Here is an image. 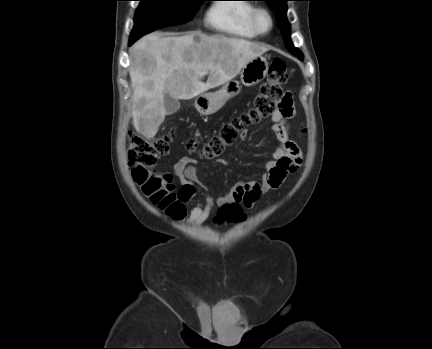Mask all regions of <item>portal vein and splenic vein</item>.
Here are the masks:
<instances>
[{
	"label": "portal vein and splenic vein",
	"instance_id": "portal-vein-and-splenic-vein-1",
	"mask_svg": "<svg viewBox=\"0 0 432 349\" xmlns=\"http://www.w3.org/2000/svg\"><path fill=\"white\" fill-rule=\"evenodd\" d=\"M199 75H200V76L202 77V76H204V75H205V73H202V72H201V73H200Z\"/></svg>",
	"mask_w": 432,
	"mask_h": 349
}]
</instances>
